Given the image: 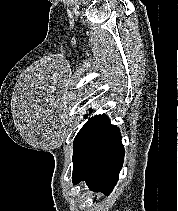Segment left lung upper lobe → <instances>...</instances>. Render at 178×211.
Returning a JSON list of instances; mask_svg holds the SVG:
<instances>
[{
  "instance_id": "5c2ea615",
  "label": "left lung upper lobe",
  "mask_w": 178,
  "mask_h": 211,
  "mask_svg": "<svg viewBox=\"0 0 178 211\" xmlns=\"http://www.w3.org/2000/svg\"><path fill=\"white\" fill-rule=\"evenodd\" d=\"M102 115H96L92 118H90L87 123L81 128V130L78 132L77 136L74 140V149L79 145V143L85 138V136L89 133V131L93 128V126L96 124L98 119ZM86 118V115L84 116Z\"/></svg>"
}]
</instances>
